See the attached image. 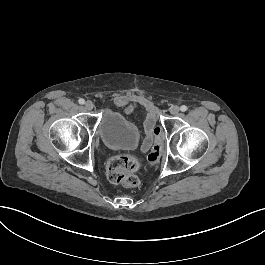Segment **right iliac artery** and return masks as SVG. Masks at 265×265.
Wrapping results in <instances>:
<instances>
[{
  "label": "right iliac artery",
  "mask_w": 265,
  "mask_h": 265,
  "mask_svg": "<svg viewBox=\"0 0 265 265\" xmlns=\"http://www.w3.org/2000/svg\"><path fill=\"white\" fill-rule=\"evenodd\" d=\"M78 102H79V104L83 105V104L85 103V100L82 99V98H80V99L78 100Z\"/></svg>",
  "instance_id": "1"
}]
</instances>
